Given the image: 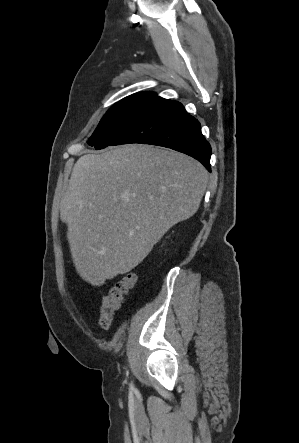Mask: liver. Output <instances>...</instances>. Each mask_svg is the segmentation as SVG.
I'll list each match as a JSON object with an SVG mask.
<instances>
[{"instance_id":"6515ba94","label":"liver","mask_w":299,"mask_h":443,"mask_svg":"<svg viewBox=\"0 0 299 443\" xmlns=\"http://www.w3.org/2000/svg\"><path fill=\"white\" fill-rule=\"evenodd\" d=\"M208 171L194 158L143 144L81 156L60 203L80 277L93 286L134 269L198 210Z\"/></svg>"}]
</instances>
